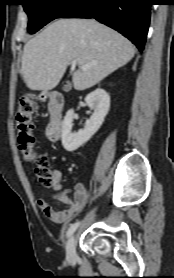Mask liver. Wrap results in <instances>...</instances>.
I'll return each mask as SVG.
<instances>
[{
	"label": "liver",
	"mask_w": 174,
	"mask_h": 278,
	"mask_svg": "<svg viewBox=\"0 0 174 278\" xmlns=\"http://www.w3.org/2000/svg\"><path fill=\"white\" fill-rule=\"evenodd\" d=\"M134 54L128 39L94 19H59L25 44L20 74L29 89L49 91L76 61L80 69L72 82L81 91L126 65ZM84 65L89 69L83 71Z\"/></svg>",
	"instance_id": "1"
}]
</instances>
